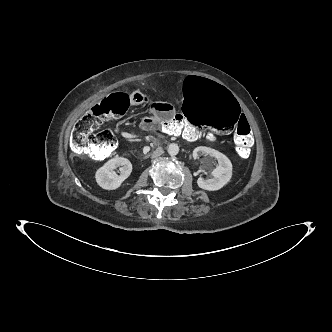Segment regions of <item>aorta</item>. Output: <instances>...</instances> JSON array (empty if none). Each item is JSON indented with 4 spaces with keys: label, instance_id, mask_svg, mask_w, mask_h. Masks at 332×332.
I'll return each mask as SVG.
<instances>
[{
    "label": "aorta",
    "instance_id": "obj_1",
    "mask_svg": "<svg viewBox=\"0 0 332 332\" xmlns=\"http://www.w3.org/2000/svg\"><path fill=\"white\" fill-rule=\"evenodd\" d=\"M168 153L171 156L177 155L179 153V146L175 143L170 144L168 147Z\"/></svg>",
    "mask_w": 332,
    "mask_h": 332
}]
</instances>
